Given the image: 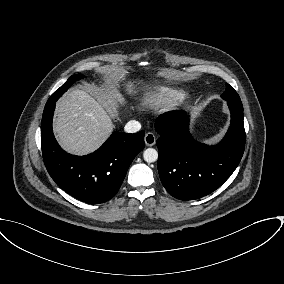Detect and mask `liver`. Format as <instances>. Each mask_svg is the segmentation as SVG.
<instances>
[{
  "label": "liver",
  "instance_id": "1",
  "mask_svg": "<svg viewBox=\"0 0 284 284\" xmlns=\"http://www.w3.org/2000/svg\"><path fill=\"white\" fill-rule=\"evenodd\" d=\"M110 86L113 83L110 82ZM132 93L133 85H126ZM114 125L103 105L83 90L63 95L56 104L54 131L64 150L76 155L95 151L109 137Z\"/></svg>",
  "mask_w": 284,
  "mask_h": 284
}]
</instances>
